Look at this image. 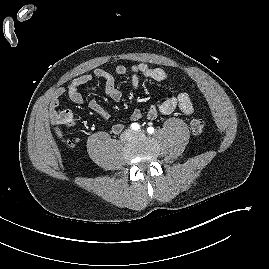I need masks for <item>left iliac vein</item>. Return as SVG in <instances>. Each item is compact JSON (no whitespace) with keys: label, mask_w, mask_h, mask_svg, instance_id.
Segmentation results:
<instances>
[{"label":"left iliac vein","mask_w":269,"mask_h":269,"mask_svg":"<svg viewBox=\"0 0 269 269\" xmlns=\"http://www.w3.org/2000/svg\"><path fill=\"white\" fill-rule=\"evenodd\" d=\"M144 135H145V132L143 130H139V131L134 133L135 137H142Z\"/></svg>","instance_id":"left-iliac-vein-1"}]
</instances>
